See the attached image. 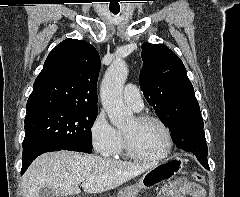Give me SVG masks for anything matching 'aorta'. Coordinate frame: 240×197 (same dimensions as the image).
Here are the masks:
<instances>
[{
	"instance_id": "1",
	"label": "aorta",
	"mask_w": 240,
	"mask_h": 197,
	"mask_svg": "<svg viewBox=\"0 0 240 197\" xmlns=\"http://www.w3.org/2000/svg\"><path fill=\"white\" fill-rule=\"evenodd\" d=\"M128 67L124 61H114L107 69L101 83L102 105L113 126L123 128L133 119V112L123 100V86Z\"/></svg>"
}]
</instances>
